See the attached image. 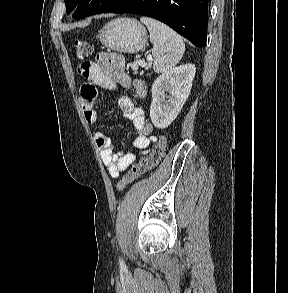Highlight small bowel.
Here are the masks:
<instances>
[{
  "label": "small bowel",
  "mask_w": 288,
  "mask_h": 293,
  "mask_svg": "<svg viewBox=\"0 0 288 293\" xmlns=\"http://www.w3.org/2000/svg\"><path fill=\"white\" fill-rule=\"evenodd\" d=\"M79 73L89 82L81 87V105L87 123L97 124V86L116 91L118 87L131 90L136 100H142L146 96L144 83L140 79H132L125 72V60L122 55L116 53H100L96 62H83L79 66ZM118 106L123 116L133 123L137 131L133 145L135 152L116 153L109 136L101 130L94 133V140L100 151L101 159L112 178L133 163L138 156L145 154L156 137L152 135L153 126L146 121L144 112L135 105L128 96L118 99Z\"/></svg>",
  "instance_id": "c3829d8e"
}]
</instances>
